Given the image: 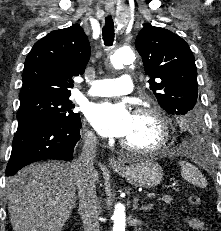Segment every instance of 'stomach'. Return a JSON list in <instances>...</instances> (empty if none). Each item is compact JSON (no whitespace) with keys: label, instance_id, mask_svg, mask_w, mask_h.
Returning a JSON list of instances; mask_svg holds the SVG:
<instances>
[{"label":"stomach","instance_id":"stomach-1","mask_svg":"<svg viewBox=\"0 0 221 231\" xmlns=\"http://www.w3.org/2000/svg\"><path fill=\"white\" fill-rule=\"evenodd\" d=\"M114 171L130 184L147 189L157 186L163 179L162 168L150 159L133 162L123 168H114Z\"/></svg>","mask_w":221,"mask_h":231}]
</instances>
